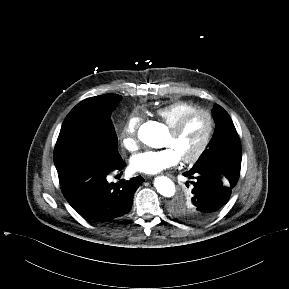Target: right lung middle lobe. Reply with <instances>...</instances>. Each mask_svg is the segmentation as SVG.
<instances>
[{
  "label": "right lung middle lobe",
  "mask_w": 289,
  "mask_h": 289,
  "mask_svg": "<svg viewBox=\"0 0 289 289\" xmlns=\"http://www.w3.org/2000/svg\"><path fill=\"white\" fill-rule=\"evenodd\" d=\"M117 94L87 98L65 118L54 150L57 170L86 164L110 167L121 160L111 112L121 100Z\"/></svg>",
  "instance_id": "1"
}]
</instances>
